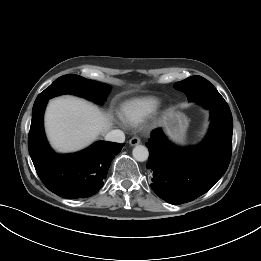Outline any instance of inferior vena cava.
Listing matches in <instances>:
<instances>
[{"instance_id": "inferior-vena-cava-1", "label": "inferior vena cava", "mask_w": 261, "mask_h": 261, "mask_svg": "<svg viewBox=\"0 0 261 261\" xmlns=\"http://www.w3.org/2000/svg\"><path fill=\"white\" fill-rule=\"evenodd\" d=\"M105 140L111 142L123 143L125 141V135L121 130L118 129L112 130L106 134Z\"/></svg>"}]
</instances>
